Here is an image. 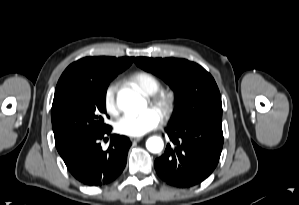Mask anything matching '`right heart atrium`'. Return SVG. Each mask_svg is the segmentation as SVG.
Listing matches in <instances>:
<instances>
[{
	"mask_svg": "<svg viewBox=\"0 0 299 205\" xmlns=\"http://www.w3.org/2000/svg\"><path fill=\"white\" fill-rule=\"evenodd\" d=\"M116 92H117V84L110 83L104 91L103 95V104L106 111L111 114L115 115L118 112V104L116 99Z\"/></svg>",
	"mask_w": 299,
	"mask_h": 205,
	"instance_id": "obj_1",
	"label": "right heart atrium"
}]
</instances>
